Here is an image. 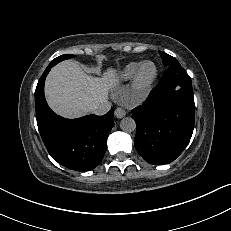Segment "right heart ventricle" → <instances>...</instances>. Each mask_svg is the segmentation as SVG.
<instances>
[{"instance_id":"e07e8e85","label":"right heart ventricle","mask_w":231,"mask_h":231,"mask_svg":"<svg viewBox=\"0 0 231 231\" xmlns=\"http://www.w3.org/2000/svg\"><path fill=\"white\" fill-rule=\"evenodd\" d=\"M140 66V63H130L126 65L119 73V79L121 81H129L134 78V75Z\"/></svg>"}]
</instances>
